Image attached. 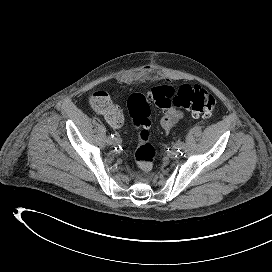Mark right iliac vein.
<instances>
[{"label": "right iliac vein", "instance_id": "right-iliac-vein-1", "mask_svg": "<svg viewBox=\"0 0 272 272\" xmlns=\"http://www.w3.org/2000/svg\"><path fill=\"white\" fill-rule=\"evenodd\" d=\"M120 141H121L120 137H119L118 140H116V141L110 140L109 137L107 138V143H108L109 145H117V144L120 143Z\"/></svg>", "mask_w": 272, "mask_h": 272}]
</instances>
